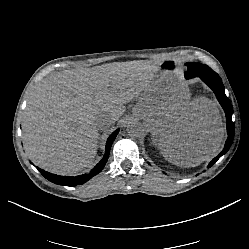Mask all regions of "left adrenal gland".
Instances as JSON below:
<instances>
[{
	"instance_id": "left-adrenal-gland-1",
	"label": "left adrenal gland",
	"mask_w": 249,
	"mask_h": 249,
	"mask_svg": "<svg viewBox=\"0 0 249 249\" xmlns=\"http://www.w3.org/2000/svg\"><path fill=\"white\" fill-rule=\"evenodd\" d=\"M152 142L155 143V139H152Z\"/></svg>"
}]
</instances>
